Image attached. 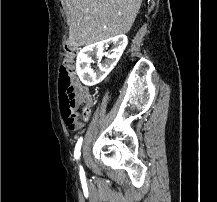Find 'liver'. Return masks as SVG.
<instances>
[{
	"label": "liver",
	"instance_id": "6515ba94",
	"mask_svg": "<svg viewBox=\"0 0 217 202\" xmlns=\"http://www.w3.org/2000/svg\"><path fill=\"white\" fill-rule=\"evenodd\" d=\"M68 14V46H88L127 34L142 0H61Z\"/></svg>",
	"mask_w": 217,
	"mask_h": 202
}]
</instances>
